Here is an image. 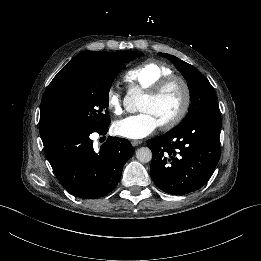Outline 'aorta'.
<instances>
[{
	"mask_svg": "<svg viewBox=\"0 0 261 261\" xmlns=\"http://www.w3.org/2000/svg\"><path fill=\"white\" fill-rule=\"evenodd\" d=\"M133 103L137 104V107L143 103V98H146L145 94H133L131 95ZM138 111H141L138 109ZM136 158L140 163H148L152 160V151L148 147H141L136 151Z\"/></svg>",
	"mask_w": 261,
	"mask_h": 261,
	"instance_id": "obj_1",
	"label": "aorta"
}]
</instances>
